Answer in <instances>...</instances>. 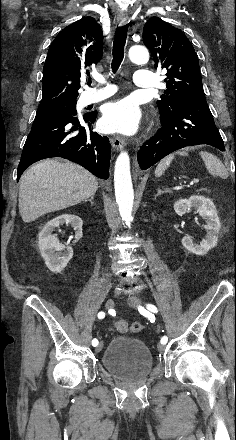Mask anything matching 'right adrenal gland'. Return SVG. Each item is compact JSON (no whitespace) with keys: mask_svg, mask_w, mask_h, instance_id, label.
<instances>
[{"mask_svg":"<svg viewBox=\"0 0 236 440\" xmlns=\"http://www.w3.org/2000/svg\"><path fill=\"white\" fill-rule=\"evenodd\" d=\"M93 199H94V195H93V196H91V197H90V199H88V200H85V201H89V202L91 203V205H93V203H94V202H93Z\"/></svg>","mask_w":236,"mask_h":440,"instance_id":"obj_1","label":"right adrenal gland"}]
</instances>
